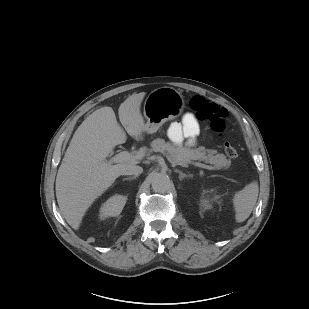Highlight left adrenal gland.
Instances as JSON below:
<instances>
[{"instance_id":"obj_1","label":"left adrenal gland","mask_w":309,"mask_h":309,"mask_svg":"<svg viewBox=\"0 0 309 309\" xmlns=\"http://www.w3.org/2000/svg\"><path fill=\"white\" fill-rule=\"evenodd\" d=\"M176 173H179V179L180 180H183L185 177H190V175H187L185 173H183L182 171L178 170V169H175L174 170Z\"/></svg>"}]
</instances>
